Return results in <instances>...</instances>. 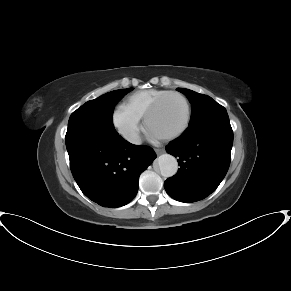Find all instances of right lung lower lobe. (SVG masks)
<instances>
[{"instance_id": "1", "label": "right lung lower lobe", "mask_w": 291, "mask_h": 291, "mask_svg": "<svg viewBox=\"0 0 291 291\" xmlns=\"http://www.w3.org/2000/svg\"><path fill=\"white\" fill-rule=\"evenodd\" d=\"M70 168L81 191L103 207H121L134 199L140 174L156 154L133 145L114 128L74 124L65 136Z\"/></svg>"}]
</instances>
